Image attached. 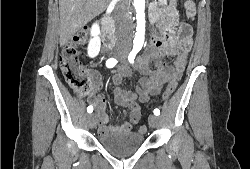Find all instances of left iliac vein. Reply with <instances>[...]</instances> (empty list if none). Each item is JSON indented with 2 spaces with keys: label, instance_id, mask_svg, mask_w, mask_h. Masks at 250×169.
<instances>
[{
  "label": "left iliac vein",
  "instance_id": "4c4485c4",
  "mask_svg": "<svg viewBox=\"0 0 250 169\" xmlns=\"http://www.w3.org/2000/svg\"><path fill=\"white\" fill-rule=\"evenodd\" d=\"M150 127L155 128L159 125V118L156 115H150L148 118Z\"/></svg>",
  "mask_w": 250,
  "mask_h": 169
}]
</instances>
